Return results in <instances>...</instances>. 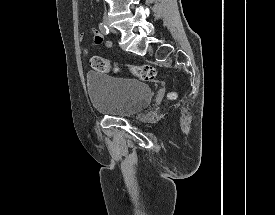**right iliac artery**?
Returning a JSON list of instances; mask_svg holds the SVG:
<instances>
[{"instance_id": "1", "label": "right iliac artery", "mask_w": 275, "mask_h": 215, "mask_svg": "<svg viewBox=\"0 0 275 215\" xmlns=\"http://www.w3.org/2000/svg\"><path fill=\"white\" fill-rule=\"evenodd\" d=\"M99 29L104 35H107L109 33L108 27L103 23L99 24Z\"/></svg>"}]
</instances>
